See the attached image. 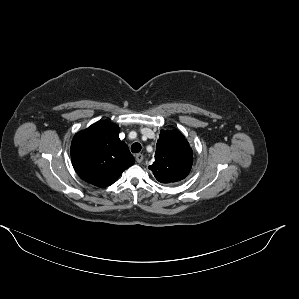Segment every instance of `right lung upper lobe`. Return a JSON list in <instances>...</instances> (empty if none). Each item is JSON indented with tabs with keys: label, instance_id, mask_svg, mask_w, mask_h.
<instances>
[{
	"label": "right lung upper lobe",
	"instance_id": "cb5924a9",
	"mask_svg": "<svg viewBox=\"0 0 299 299\" xmlns=\"http://www.w3.org/2000/svg\"><path fill=\"white\" fill-rule=\"evenodd\" d=\"M119 131L116 124L101 121L74 136L71 160L83 180L97 187H107L134 164L128 146L119 139Z\"/></svg>",
	"mask_w": 299,
	"mask_h": 299
}]
</instances>
